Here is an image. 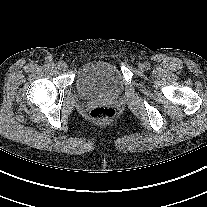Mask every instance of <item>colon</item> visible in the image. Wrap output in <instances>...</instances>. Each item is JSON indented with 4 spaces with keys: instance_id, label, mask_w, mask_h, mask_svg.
<instances>
[{
    "instance_id": "obj_1",
    "label": "colon",
    "mask_w": 207,
    "mask_h": 207,
    "mask_svg": "<svg viewBox=\"0 0 207 207\" xmlns=\"http://www.w3.org/2000/svg\"><path fill=\"white\" fill-rule=\"evenodd\" d=\"M115 110L110 106H98L90 112V118L98 124H106L113 120Z\"/></svg>"
}]
</instances>
